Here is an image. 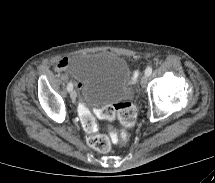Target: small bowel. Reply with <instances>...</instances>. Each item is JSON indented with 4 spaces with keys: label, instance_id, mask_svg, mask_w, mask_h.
Returning <instances> with one entry per match:
<instances>
[{
    "label": "small bowel",
    "instance_id": "obj_1",
    "mask_svg": "<svg viewBox=\"0 0 215 183\" xmlns=\"http://www.w3.org/2000/svg\"><path fill=\"white\" fill-rule=\"evenodd\" d=\"M71 59L72 58L64 57L61 60H59L57 62V64L55 65V70L56 71H62V70H64L70 64ZM77 86L78 87H82V83L78 81L77 82Z\"/></svg>",
    "mask_w": 215,
    "mask_h": 183
}]
</instances>
